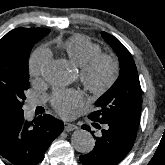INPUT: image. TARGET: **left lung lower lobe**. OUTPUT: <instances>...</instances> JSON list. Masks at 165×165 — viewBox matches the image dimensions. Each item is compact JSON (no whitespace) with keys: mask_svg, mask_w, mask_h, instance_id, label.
Here are the masks:
<instances>
[{"mask_svg":"<svg viewBox=\"0 0 165 165\" xmlns=\"http://www.w3.org/2000/svg\"><path fill=\"white\" fill-rule=\"evenodd\" d=\"M92 125L101 129V132L98 136H94L96 142L93 150L80 156L81 163L83 165H117L132 149L137 131L113 123L99 122ZM82 128L94 135L90 127L85 125Z\"/></svg>","mask_w":165,"mask_h":165,"instance_id":"1","label":"left lung lower lobe"}]
</instances>
